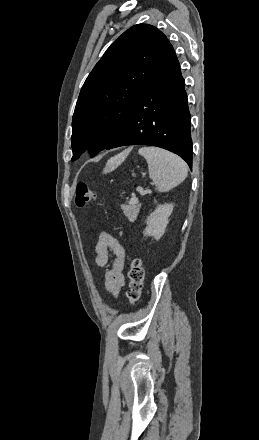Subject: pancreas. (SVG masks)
Returning <instances> with one entry per match:
<instances>
[{
  "mask_svg": "<svg viewBox=\"0 0 259 440\" xmlns=\"http://www.w3.org/2000/svg\"><path fill=\"white\" fill-rule=\"evenodd\" d=\"M133 198L129 201L128 204H124L121 206L123 214L130 220L134 221L137 218L141 205L137 202L132 201Z\"/></svg>",
  "mask_w": 259,
  "mask_h": 440,
  "instance_id": "obj_1",
  "label": "pancreas"
}]
</instances>
